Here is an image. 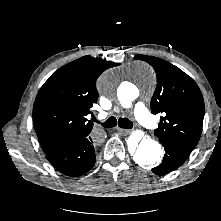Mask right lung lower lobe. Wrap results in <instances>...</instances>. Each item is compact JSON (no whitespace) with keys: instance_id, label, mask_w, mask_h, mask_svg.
<instances>
[{"instance_id":"right-lung-lower-lobe-1","label":"right lung lower lobe","mask_w":221,"mask_h":221,"mask_svg":"<svg viewBox=\"0 0 221 221\" xmlns=\"http://www.w3.org/2000/svg\"><path fill=\"white\" fill-rule=\"evenodd\" d=\"M94 139L91 136L74 140L46 154L48 161L61 173L80 176L95 164Z\"/></svg>"}]
</instances>
